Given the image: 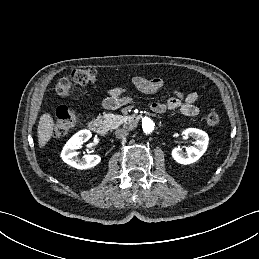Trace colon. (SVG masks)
<instances>
[{"label": "colon", "mask_w": 259, "mask_h": 259, "mask_svg": "<svg viewBox=\"0 0 259 259\" xmlns=\"http://www.w3.org/2000/svg\"><path fill=\"white\" fill-rule=\"evenodd\" d=\"M96 78L97 71L95 69H76L61 78L56 84L55 90L59 96L68 97L72 94L73 85H89L94 83ZM57 118L53 127V136L62 137L75 126L78 114L73 107L61 106L57 110ZM219 122L218 113L212 111L207 114L206 123L209 126H216Z\"/></svg>", "instance_id": "obj_1"}]
</instances>
